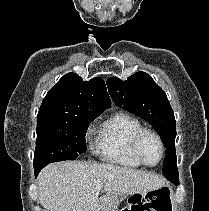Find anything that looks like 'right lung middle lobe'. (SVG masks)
<instances>
[{
  "label": "right lung middle lobe",
  "mask_w": 209,
  "mask_h": 211,
  "mask_svg": "<svg viewBox=\"0 0 209 211\" xmlns=\"http://www.w3.org/2000/svg\"><path fill=\"white\" fill-rule=\"evenodd\" d=\"M96 117L37 120L34 168L62 160H75L86 151L85 133Z\"/></svg>",
  "instance_id": "right-lung-middle-lobe-1"
}]
</instances>
